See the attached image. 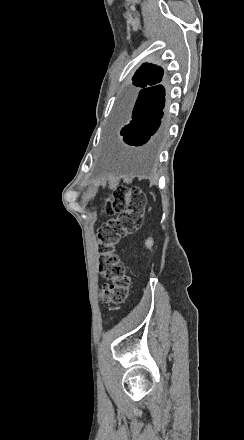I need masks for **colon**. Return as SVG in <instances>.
Masks as SVG:
<instances>
[{
	"instance_id": "colon-1",
	"label": "colon",
	"mask_w": 244,
	"mask_h": 440,
	"mask_svg": "<svg viewBox=\"0 0 244 440\" xmlns=\"http://www.w3.org/2000/svg\"><path fill=\"white\" fill-rule=\"evenodd\" d=\"M144 203L142 191L134 186L127 192L115 190L112 200L104 208L108 220L97 234L98 268L108 280V284L99 290V296L104 302L122 306L128 300L132 279L116 253V246L121 237L141 227Z\"/></svg>"
}]
</instances>
